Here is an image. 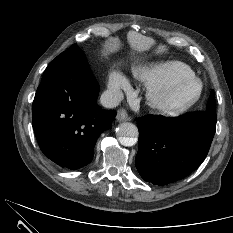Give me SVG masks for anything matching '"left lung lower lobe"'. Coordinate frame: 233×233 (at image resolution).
I'll use <instances>...</instances> for the list:
<instances>
[{"label": "left lung lower lobe", "instance_id": "left-lung-lower-lobe-1", "mask_svg": "<svg viewBox=\"0 0 233 233\" xmlns=\"http://www.w3.org/2000/svg\"><path fill=\"white\" fill-rule=\"evenodd\" d=\"M216 114L194 112L181 120L161 115L139 118L136 167L154 185L189 175L206 158L216 131Z\"/></svg>", "mask_w": 233, "mask_h": 233}]
</instances>
